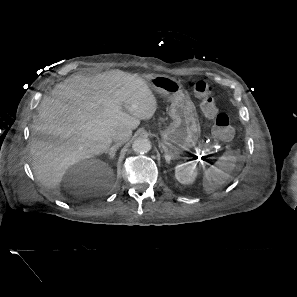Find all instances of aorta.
<instances>
[{
	"label": "aorta",
	"mask_w": 297,
	"mask_h": 297,
	"mask_svg": "<svg viewBox=\"0 0 297 297\" xmlns=\"http://www.w3.org/2000/svg\"><path fill=\"white\" fill-rule=\"evenodd\" d=\"M151 142L147 138L136 139L132 144V150L137 154H144L150 151Z\"/></svg>",
	"instance_id": "1"
}]
</instances>
